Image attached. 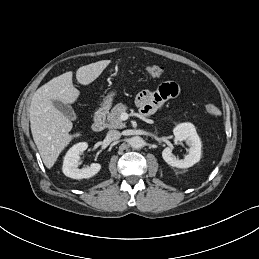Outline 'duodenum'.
Masks as SVG:
<instances>
[{"instance_id": "410a0bca", "label": "duodenum", "mask_w": 259, "mask_h": 259, "mask_svg": "<svg viewBox=\"0 0 259 259\" xmlns=\"http://www.w3.org/2000/svg\"><path fill=\"white\" fill-rule=\"evenodd\" d=\"M107 113V106L102 105L96 108L93 116L92 129L96 132L101 131L105 125V116Z\"/></svg>"}]
</instances>
